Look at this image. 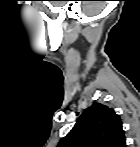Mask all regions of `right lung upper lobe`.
Masks as SVG:
<instances>
[{
	"instance_id": "cb5924a9",
	"label": "right lung upper lobe",
	"mask_w": 140,
	"mask_h": 147,
	"mask_svg": "<svg viewBox=\"0 0 140 147\" xmlns=\"http://www.w3.org/2000/svg\"><path fill=\"white\" fill-rule=\"evenodd\" d=\"M119 115L106 105L95 103L85 109L73 129L58 147H125Z\"/></svg>"
}]
</instances>
